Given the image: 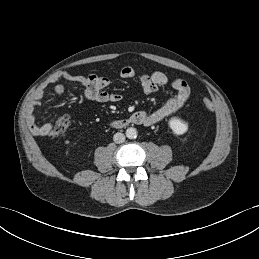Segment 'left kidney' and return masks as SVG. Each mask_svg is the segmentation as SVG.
Instances as JSON below:
<instances>
[{"label": "left kidney", "instance_id": "obj_1", "mask_svg": "<svg viewBox=\"0 0 259 259\" xmlns=\"http://www.w3.org/2000/svg\"><path fill=\"white\" fill-rule=\"evenodd\" d=\"M169 127L176 135H183L188 131V124L178 118L170 119Z\"/></svg>", "mask_w": 259, "mask_h": 259}]
</instances>
